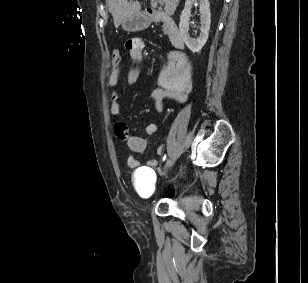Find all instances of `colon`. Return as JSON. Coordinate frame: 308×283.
<instances>
[{"label":"colon","instance_id":"5ec220e1","mask_svg":"<svg viewBox=\"0 0 308 283\" xmlns=\"http://www.w3.org/2000/svg\"><path fill=\"white\" fill-rule=\"evenodd\" d=\"M121 63V54L119 50H114L112 54V64L113 67H119Z\"/></svg>","mask_w":308,"mask_h":283}]
</instances>
